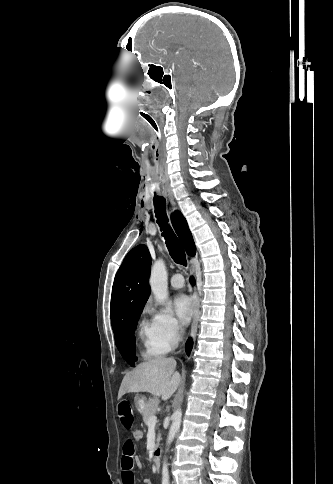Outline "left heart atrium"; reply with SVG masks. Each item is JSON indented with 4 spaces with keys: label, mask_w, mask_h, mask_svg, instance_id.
Segmentation results:
<instances>
[{
    "label": "left heart atrium",
    "mask_w": 333,
    "mask_h": 484,
    "mask_svg": "<svg viewBox=\"0 0 333 484\" xmlns=\"http://www.w3.org/2000/svg\"><path fill=\"white\" fill-rule=\"evenodd\" d=\"M174 310L180 321L187 324L194 314L192 300L184 294H179L174 299Z\"/></svg>",
    "instance_id": "obj_1"
}]
</instances>
